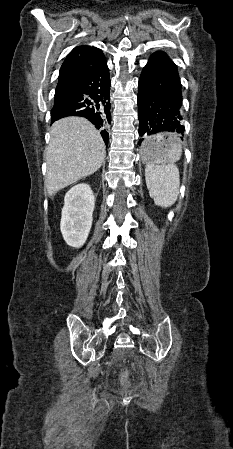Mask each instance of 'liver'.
Returning a JSON list of instances; mask_svg holds the SVG:
<instances>
[{
    "label": "liver",
    "mask_w": 233,
    "mask_h": 449,
    "mask_svg": "<svg viewBox=\"0 0 233 449\" xmlns=\"http://www.w3.org/2000/svg\"><path fill=\"white\" fill-rule=\"evenodd\" d=\"M50 133L44 187L51 196L95 173L103 164L106 151L100 133L83 117L60 119Z\"/></svg>",
    "instance_id": "1"
}]
</instances>
